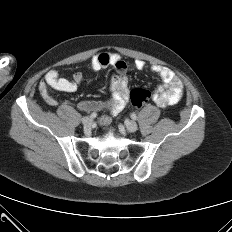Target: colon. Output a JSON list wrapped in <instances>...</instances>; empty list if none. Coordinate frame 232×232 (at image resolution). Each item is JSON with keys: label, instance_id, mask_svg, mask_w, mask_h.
Listing matches in <instances>:
<instances>
[{"label": "colon", "instance_id": "1", "mask_svg": "<svg viewBox=\"0 0 232 232\" xmlns=\"http://www.w3.org/2000/svg\"><path fill=\"white\" fill-rule=\"evenodd\" d=\"M151 98V92L144 88H134L130 92V100L133 106L141 107Z\"/></svg>", "mask_w": 232, "mask_h": 232}]
</instances>
